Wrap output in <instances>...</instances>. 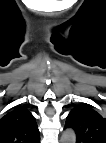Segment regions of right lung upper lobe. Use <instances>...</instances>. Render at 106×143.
<instances>
[{
  "label": "right lung upper lobe",
  "mask_w": 106,
  "mask_h": 143,
  "mask_svg": "<svg viewBox=\"0 0 106 143\" xmlns=\"http://www.w3.org/2000/svg\"><path fill=\"white\" fill-rule=\"evenodd\" d=\"M39 130L32 114L23 106H16L0 118V143H37Z\"/></svg>",
  "instance_id": "1"
}]
</instances>
